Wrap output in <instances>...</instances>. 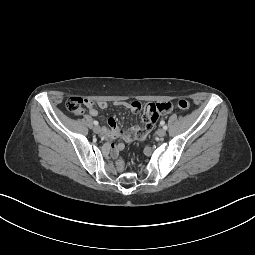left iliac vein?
Wrapping results in <instances>:
<instances>
[{"mask_svg":"<svg viewBox=\"0 0 255 255\" xmlns=\"http://www.w3.org/2000/svg\"><path fill=\"white\" fill-rule=\"evenodd\" d=\"M157 135L159 137H164L166 135V131L164 129H158L157 130Z\"/></svg>","mask_w":255,"mask_h":255,"instance_id":"1","label":"left iliac vein"}]
</instances>
